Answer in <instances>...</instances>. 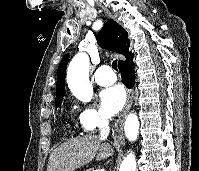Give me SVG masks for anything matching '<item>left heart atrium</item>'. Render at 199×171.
<instances>
[{"label": "left heart atrium", "mask_w": 199, "mask_h": 171, "mask_svg": "<svg viewBox=\"0 0 199 171\" xmlns=\"http://www.w3.org/2000/svg\"><path fill=\"white\" fill-rule=\"evenodd\" d=\"M125 99V91L120 85L104 89L100 93V105L103 113L108 117L116 115L124 106Z\"/></svg>", "instance_id": "1"}]
</instances>
